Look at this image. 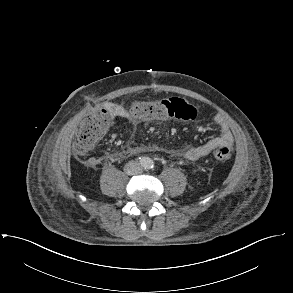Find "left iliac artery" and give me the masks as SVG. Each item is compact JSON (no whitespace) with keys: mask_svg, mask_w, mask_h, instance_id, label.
<instances>
[{"mask_svg":"<svg viewBox=\"0 0 293 293\" xmlns=\"http://www.w3.org/2000/svg\"><path fill=\"white\" fill-rule=\"evenodd\" d=\"M147 167L148 168H153V163L151 161H149L148 164H147Z\"/></svg>","mask_w":293,"mask_h":293,"instance_id":"44dca946","label":"left iliac artery"}]
</instances>
